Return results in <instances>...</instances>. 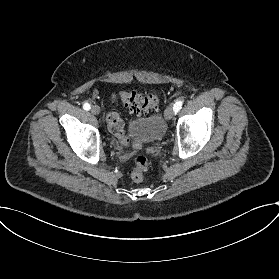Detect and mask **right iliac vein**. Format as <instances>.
<instances>
[{"label":"right iliac vein","instance_id":"63e3f726","mask_svg":"<svg viewBox=\"0 0 279 279\" xmlns=\"http://www.w3.org/2000/svg\"><path fill=\"white\" fill-rule=\"evenodd\" d=\"M90 111L92 114L97 115L100 113V108L97 105H94L91 107Z\"/></svg>","mask_w":279,"mask_h":279}]
</instances>
